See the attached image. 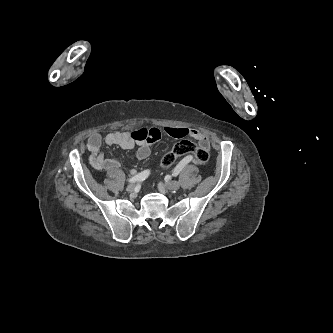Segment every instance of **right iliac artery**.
<instances>
[{
  "label": "right iliac artery",
  "mask_w": 333,
  "mask_h": 333,
  "mask_svg": "<svg viewBox=\"0 0 333 333\" xmlns=\"http://www.w3.org/2000/svg\"><path fill=\"white\" fill-rule=\"evenodd\" d=\"M150 174V171L149 170H145V171H142L141 173L131 177L128 182L130 183H135V182H141L143 180H145Z\"/></svg>",
  "instance_id": "82829eb1"
}]
</instances>
